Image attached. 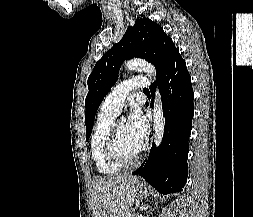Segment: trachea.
<instances>
[{
	"mask_svg": "<svg viewBox=\"0 0 253 217\" xmlns=\"http://www.w3.org/2000/svg\"><path fill=\"white\" fill-rule=\"evenodd\" d=\"M144 92H149V90L145 88V89H144Z\"/></svg>",
	"mask_w": 253,
	"mask_h": 217,
	"instance_id": "trachea-1",
	"label": "trachea"
}]
</instances>
